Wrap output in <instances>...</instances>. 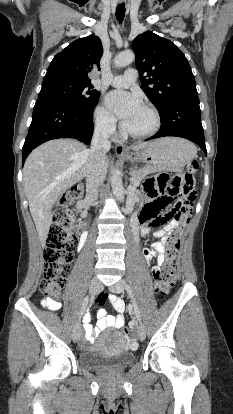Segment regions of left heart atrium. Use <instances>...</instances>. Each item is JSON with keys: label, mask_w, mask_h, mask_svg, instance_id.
I'll list each match as a JSON object with an SVG mask.
<instances>
[{"label": "left heart atrium", "mask_w": 233, "mask_h": 414, "mask_svg": "<svg viewBox=\"0 0 233 414\" xmlns=\"http://www.w3.org/2000/svg\"><path fill=\"white\" fill-rule=\"evenodd\" d=\"M108 109L126 124L141 108V100L123 90L109 92L105 98Z\"/></svg>", "instance_id": "39dd6f15"}]
</instances>
